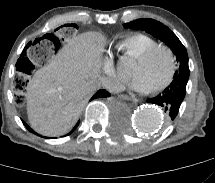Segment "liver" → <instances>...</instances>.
Masks as SVG:
<instances>
[{
	"instance_id": "liver-1",
	"label": "liver",
	"mask_w": 215,
	"mask_h": 183,
	"mask_svg": "<svg viewBox=\"0 0 215 183\" xmlns=\"http://www.w3.org/2000/svg\"><path fill=\"white\" fill-rule=\"evenodd\" d=\"M105 38L96 32L70 40L27 85L31 127L44 136L67 133L77 122L100 78Z\"/></svg>"
}]
</instances>
